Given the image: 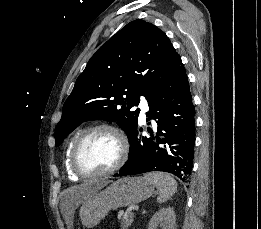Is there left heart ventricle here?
Listing matches in <instances>:
<instances>
[{
	"mask_svg": "<svg viewBox=\"0 0 261 229\" xmlns=\"http://www.w3.org/2000/svg\"><path fill=\"white\" fill-rule=\"evenodd\" d=\"M120 149L116 137L109 132L99 131L91 135L77 154L78 164L92 172L111 168L119 157Z\"/></svg>",
	"mask_w": 261,
	"mask_h": 229,
	"instance_id": "left-heart-ventricle-1",
	"label": "left heart ventricle"
}]
</instances>
